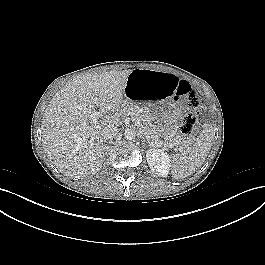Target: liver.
Segmentation results:
<instances>
[{"mask_svg": "<svg viewBox=\"0 0 265 265\" xmlns=\"http://www.w3.org/2000/svg\"><path fill=\"white\" fill-rule=\"evenodd\" d=\"M131 71L80 76L68 81L50 101L42 119V145L47 157L64 175L88 176L102 168L101 131L119 122L118 114L109 113L118 111L123 103ZM96 108L101 119L93 123L90 116Z\"/></svg>", "mask_w": 265, "mask_h": 265, "instance_id": "1", "label": "liver"}]
</instances>
